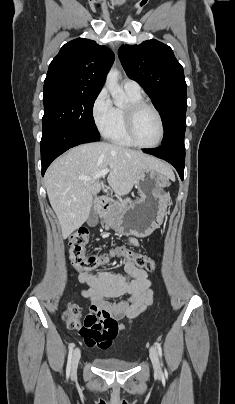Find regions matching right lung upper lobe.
<instances>
[{
	"mask_svg": "<svg viewBox=\"0 0 235 404\" xmlns=\"http://www.w3.org/2000/svg\"><path fill=\"white\" fill-rule=\"evenodd\" d=\"M113 61L114 54L106 46L85 38L72 40L50 63L44 87L59 85L99 94Z\"/></svg>",
	"mask_w": 235,
	"mask_h": 404,
	"instance_id": "cb5924a9",
	"label": "right lung upper lobe"
}]
</instances>
